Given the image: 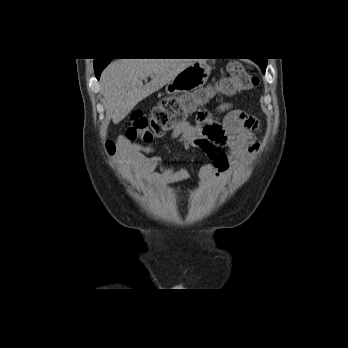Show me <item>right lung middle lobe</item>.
Here are the masks:
<instances>
[{"mask_svg": "<svg viewBox=\"0 0 348 348\" xmlns=\"http://www.w3.org/2000/svg\"><path fill=\"white\" fill-rule=\"evenodd\" d=\"M111 59H95L94 65H104L106 66Z\"/></svg>", "mask_w": 348, "mask_h": 348, "instance_id": "obj_1", "label": "right lung middle lobe"}]
</instances>
